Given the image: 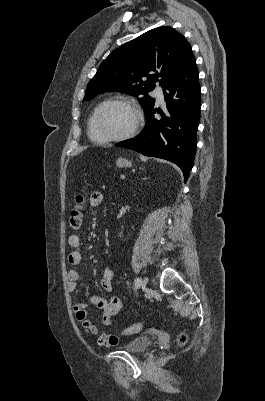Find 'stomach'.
<instances>
[{"label": "stomach", "instance_id": "stomach-1", "mask_svg": "<svg viewBox=\"0 0 265 401\" xmlns=\"http://www.w3.org/2000/svg\"><path fill=\"white\" fill-rule=\"evenodd\" d=\"M116 166H120V168H123V166H132V160H128V158H122V156H119L116 160Z\"/></svg>", "mask_w": 265, "mask_h": 401}]
</instances>
